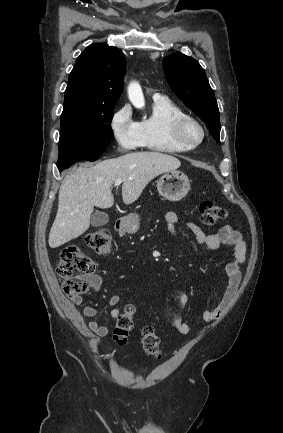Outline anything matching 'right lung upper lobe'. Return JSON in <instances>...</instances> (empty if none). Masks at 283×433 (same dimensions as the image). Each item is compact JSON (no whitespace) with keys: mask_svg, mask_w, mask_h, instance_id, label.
<instances>
[{"mask_svg":"<svg viewBox=\"0 0 283 433\" xmlns=\"http://www.w3.org/2000/svg\"><path fill=\"white\" fill-rule=\"evenodd\" d=\"M126 60L115 47L94 43L78 57L65 91L64 109L115 104L123 91Z\"/></svg>","mask_w":283,"mask_h":433,"instance_id":"right-lung-upper-lobe-1","label":"right lung upper lobe"}]
</instances>
